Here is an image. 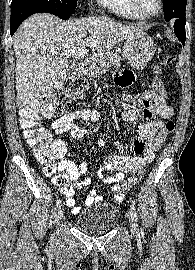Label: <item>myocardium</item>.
Returning <instances> with one entry per match:
<instances>
[{
	"label": "myocardium",
	"mask_w": 195,
	"mask_h": 270,
	"mask_svg": "<svg viewBox=\"0 0 195 270\" xmlns=\"http://www.w3.org/2000/svg\"><path fill=\"white\" fill-rule=\"evenodd\" d=\"M132 4L134 6V8L140 13L142 14L145 18H150V17H154L156 15H158L162 8H163V0H157L158 2V7L154 12H146L143 10V8L140 5L139 0H131Z\"/></svg>",
	"instance_id": "obj_1"
}]
</instances>
